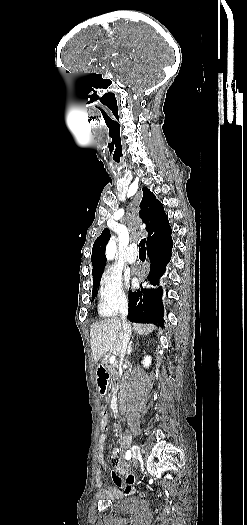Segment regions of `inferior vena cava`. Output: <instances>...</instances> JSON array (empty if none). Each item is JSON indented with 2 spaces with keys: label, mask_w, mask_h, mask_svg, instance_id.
<instances>
[{
  "label": "inferior vena cava",
  "mask_w": 247,
  "mask_h": 525,
  "mask_svg": "<svg viewBox=\"0 0 247 525\" xmlns=\"http://www.w3.org/2000/svg\"><path fill=\"white\" fill-rule=\"evenodd\" d=\"M119 313H120V319L123 323V335L121 337V351H120V359H119V365L121 369L122 361L125 357V353H127L129 341H130V335H131V327L129 323H127V315H128V303H123L121 301L120 307H119Z\"/></svg>",
  "instance_id": "inferior-vena-cava-1"
}]
</instances>
